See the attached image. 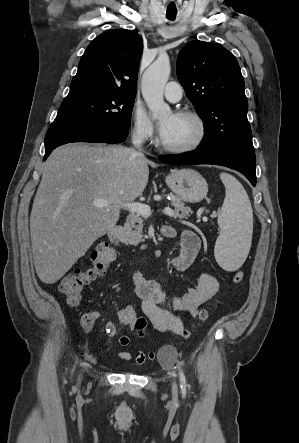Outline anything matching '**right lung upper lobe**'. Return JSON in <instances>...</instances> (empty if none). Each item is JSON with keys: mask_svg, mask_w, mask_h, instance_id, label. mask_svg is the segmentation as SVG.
Masks as SVG:
<instances>
[{"mask_svg": "<svg viewBox=\"0 0 299 443\" xmlns=\"http://www.w3.org/2000/svg\"><path fill=\"white\" fill-rule=\"evenodd\" d=\"M141 36L132 30L112 29L96 37L78 65L70 89L97 88L136 95Z\"/></svg>", "mask_w": 299, "mask_h": 443, "instance_id": "obj_1", "label": "right lung upper lobe"}]
</instances>
